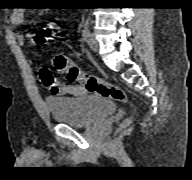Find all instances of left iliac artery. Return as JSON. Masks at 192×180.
Masks as SVG:
<instances>
[{
  "mask_svg": "<svg viewBox=\"0 0 192 180\" xmlns=\"http://www.w3.org/2000/svg\"><path fill=\"white\" fill-rule=\"evenodd\" d=\"M89 19H87L83 25V29H82V37L85 41H87L89 35H90V30H89Z\"/></svg>",
  "mask_w": 192,
  "mask_h": 180,
  "instance_id": "obj_1",
  "label": "left iliac artery"
}]
</instances>
